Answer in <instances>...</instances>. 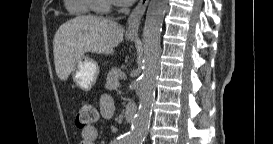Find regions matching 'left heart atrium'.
<instances>
[{"mask_svg": "<svg viewBox=\"0 0 273 144\" xmlns=\"http://www.w3.org/2000/svg\"><path fill=\"white\" fill-rule=\"evenodd\" d=\"M112 2H115L119 5H130L134 0H112Z\"/></svg>", "mask_w": 273, "mask_h": 144, "instance_id": "39dd6f15", "label": "left heart atrium"}]
</instances>
